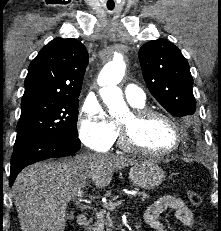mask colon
Listing matches in <instances>:
<instances>
[{
	"label": "colon",
	"mask_w": 221,
	"mask_h": 231,
	"mask_svg": "<svg viewBox=\"0 0 221 231\" xmlns=\"http://www.w3.org/2000/svg\"><path fill=\"white\" fill-rule=\"evenodd\" d=\"M188 199H189V201H190V203L192 204V205H194V206H199V205H201V203H202V198H201V196H200V194L199 193H197V192H195V191H189L188 192Z\"/></svg>",
	"instance_id": "colon-1"
}]
</instances>
